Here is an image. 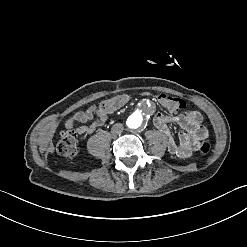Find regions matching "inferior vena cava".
<instances>
[{"label":"inferior vena cava","instance_id":"inferior-vena-cava-1","mask_svg":"<svg viewBox=\"0 0 247 247\" xmlns=\"http://www.w3.org/2000/svg\"><path fill=\"white\" fill-rule=\"evenodd\" d=\"M123 131V125L121 123H116L111 128V133L113 135L120 134Z\"/></svg>","mask_w":247,"mask_h":247}]
</instances>
